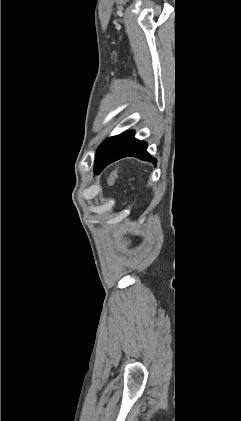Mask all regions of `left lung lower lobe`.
<instances>
[{
	"label": "left lung lower lobe",
	"mask_w": 241,
	"mask_h": 421,
	"mask_svg": "<svg viewBox=\"0 0 241 421\" xmlns=\"http://www.w3.org/2000/svg\"><path fill=\"white\" fill-rule=\"evenodd\" d=\"M147 144L134 138V131L124 132L108 139L103 152L96 160L95 174H99L108 164L127 157L133 156L141 160L152 162L156 165V159L146 151Z\"/></svg>",
	"instance_id": "1"
}]
</instances>
